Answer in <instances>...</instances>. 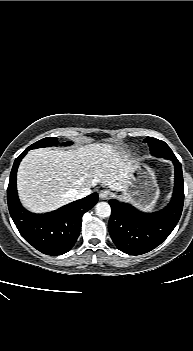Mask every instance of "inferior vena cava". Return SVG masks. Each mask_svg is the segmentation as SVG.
I'll use <instances>...</instances> for the list:
<instances>
[{
    "instance_id": "602c4592",
    "label": "inferior vena cava",
    "mask_w": 193,
    "mask_h": 351,
    "mask_svg": "<svg viewBox=\"0 0 193 351\" xmlns=\"http://www.w3.org/2000/svg\"><path fill=\"white\" fill-rule=\"evenodd\" d=\"M91 193L90 188H81L79 190L73 191V195L76 199H81L88 196Z\"/></svg>"
}]
</instances>
